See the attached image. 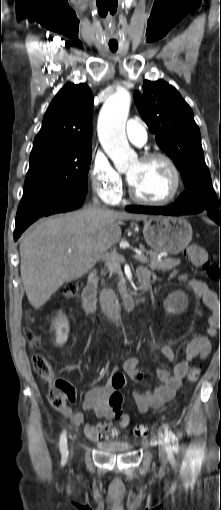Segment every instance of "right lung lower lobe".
<instances>
[{"mask_svg":"<svg viewBox=\"0 0 221 510\" xmlns=\"http://www.w3.org/2000/svg\"><path fill=\"white\" fill-rule=\"evenodd\" d=\"M86 195L78 196L74 199L65 201L52 207H48L38 214L30 216L28 213L17 211L16 226L14 231V240L16 241L22 232L32 224L36 219L55 213L67 212L79 208L85 200Z\"/></svg>","mask_w":221,"mask_h":510,"instance_id":"98d812e1","label":"right lung lower lobe"}]
</instances>
